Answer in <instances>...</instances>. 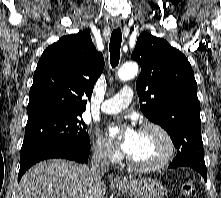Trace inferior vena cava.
Segmentation results:
<instances>
[{
	"mask_svg": "<svg viewBox=\"0 0 221 198\" xmlns=\"http://www.w3.org/2000/svg\"><path fill=\"white\" fill-rule=\"evenodd\" d=\"M110 164V150L105 146H97L91 159L90 172L94 179L101 180L108 171Z\"/></svg>",
	"mask_w": 221,
	"mask_h": 198,
	"instance_id": "inferior-vena-cava-1",
	"label": "inferior vena cava"
}]
</instances>
